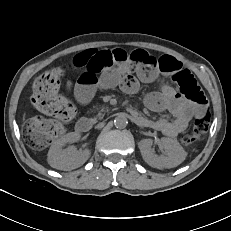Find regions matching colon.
I'll list each match as a JSON object with an SVG mask.
<instances>
[{"mask_svg":"<svg viewBox=\"0 0 231 231\" xmlns=\"http://www.w3.org/2000/svg\"><path fill=\"white\" fill-rule=\"evenodd\" d=\"M141 50L129 52L130 60H138ZM64 68L55 67L40 75L33 84L31 103L45 117L31 119L26 128V140L34 149H43L50 145L64 129V124L70 121L74 114V105L58 93L60 79ZM173 79L180 91L200 103L206 104V98L199 91L194 77L183 72L177 73ZM210 115L208 110L194 123L192 133L182 137L184 145L189 146L202 138L209 129Z\"/></svg>","mask_w":231,"mask_h":231,"instance_id":"5ec220e1","label":"colon"}]
</instances>
